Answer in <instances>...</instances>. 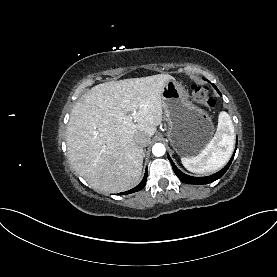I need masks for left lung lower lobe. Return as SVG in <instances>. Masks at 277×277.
<instances>
[{
  "label": "left lung lower lobe",
  "instance_id": "1",
  "mask_svg": "<svg viewBox=\"0 0 277 277\" xmlns=\"http://www.w3.org/2000/svg\"><path fill=\"white\" fill-rule=\"evenodd\" d=\"M214 86V88L217 90V92L220 94L219 90L216 88V86L214 84H212ZM221 95V94H220ZM236 151V149H235ZM234 155H235V152L232 156V158L230 159V161L228 162V164L222 169L220 170L219 172L213 174V175H210V176H207V177H192V176H189V175H186L184 174L183 172H181L176 166L175 164L173 163V161L171 160V158L169 157L168 155V159L170 160L171 164H172V167H173V170L175 172V174L180 178V180L184 183H187V184H208V183H211V182H214L215 180L221 178L223 176V174L227 171V169L229 168L233 158H234Z\"/></svg>",
  "mask_w": 277,
  "mask_h": 277
}]
</instances>
